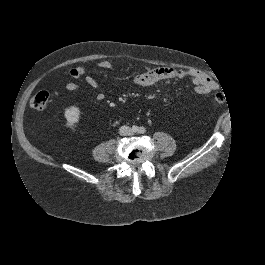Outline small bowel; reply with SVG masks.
<instances>
[{"mask_svg":"<svg viewBox=\"0 0 265 265\" xmlns=\"http://www.w3.org/2000/svg\"><path fill=\"white\" fill-rule=\"evenodd\" d=\"M98 67L100 69L106 70L111 69L113 64L108 60H104L98 64ZM86 71V66H78L72 68L69 71V75L74 79H80L84 76L86 83L92 88L98 90V82L91 75H85ZM184 78H189L192 80L193 84L195 85V91L198 94H208L218 88V84L203 73L192 70H177L169 67L150 68L143 66L142 69L135 75L134 83L141 87H147L163 80ZM65 88L69 92H77L79 90V85L76 82L70 81L66 83ZM96 99L98 101H103L105 99V94L101 91H98Z\"/></svg>","mask_w":265,"mask_h":265,"instance_id":"c3829d8e","label":"small bowel"}]
</instances>
